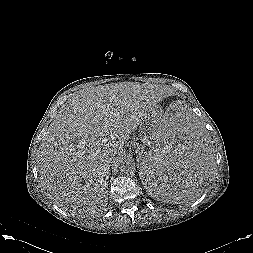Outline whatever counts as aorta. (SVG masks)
Masks as SVG:
<instances>
[{
  "label": "aorta",
  "instance_id": "aorta-1",
  "mask_svg": "<svg viewBox=\"0 0 253 253\" xmlns=\"http://www.w3.org/2000/svg\"><path fill=\"white\" fill-rule=\"evenodd\" d=\"M118 166L121 172L129 173L135 169V162L132 157L125 155L119 158Z\"/></svg>",
  "mask_w": 253,
  "mask_h": 253
}]
</instances>
